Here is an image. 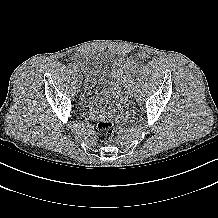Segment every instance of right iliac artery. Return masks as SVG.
Listing matches in <instances>:
<instances>
[{
	"label": "right iliac artery",
	"instance_id": "right-iliac-artery-1",
	"mask_svg": "<svg viewBox=\"0 0 218 218\" xmlns=\"http://www.w3.org/2000/svg\"><path fill=\"white\" fill-rule=\"evenodd\" d=\"M69 68H70L72 71H75V70H76L75 66H73L72 64H69Z\"/></svg>",
	"mask_w": 218,
	"mask_h": 218
}]
</instances>
